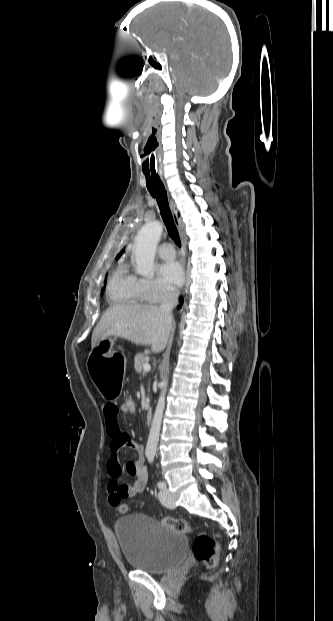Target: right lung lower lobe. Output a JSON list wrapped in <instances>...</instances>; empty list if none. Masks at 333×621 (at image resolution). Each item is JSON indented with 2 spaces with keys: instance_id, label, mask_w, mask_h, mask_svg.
Returning <instances> with one entry per match:
<instances>
[{
  "instance_id": "right-lung-lower-lobe-1",
  "label": "right lung lower lobe",
  "mask_w": 333,
  "mask_h": 621,
  "mask_svg": "<svg viewBox=\"0 0 333 621\" xmlns=\"http://www.w3.org/2000/svg\"><path fill=\"white\" fill-rule=\"evenodd\" d=\"M182 303H183V297H181V305H182ZM181 305L179 306V308L181 307Z\"/></svg>"
}]
</instances>
